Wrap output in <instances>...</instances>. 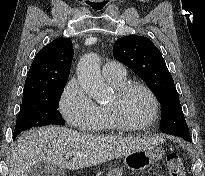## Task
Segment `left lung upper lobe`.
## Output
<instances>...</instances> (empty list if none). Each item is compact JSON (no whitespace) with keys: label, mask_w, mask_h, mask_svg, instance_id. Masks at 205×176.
I'll use <instances>...</instances> for the list:
<instances>
[{"label":"left lung upper lobe","mask_w":205,"mask_h":176,"mask_svg":"<svg viewBox=\"0 0 205 176\" xmlns=\"http://www.w3.org/2000/svg\"><path fill=\"white\" fill-rule=\"evenodd\" d=\"M113 55L143 78L163 105L162 132L191 141L172 75L153 42L143 36H125L115 42Z\"/></svg>","instance_id":"left-lung-upper-lobe-1"}]
</instances>
